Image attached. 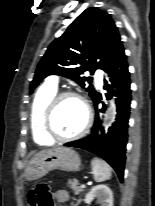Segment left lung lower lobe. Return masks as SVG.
<instances>
[{"label":"left lung lower lobe","mask_w":155,"mask_h":206,"mask_svg":"<svg viewBox=\"0 0 155 206\" xmlns=\"http://www.w3.org/2000/svg\"><path fill=\"white\" fill-rule=\"evenodd\" d=\"M111 85L105 80L104 89L107 90L106 98L117 96L116 122L105 134L102 124V113L105 108L96 111L94 126L90 134L82 139L64 144L65 146L82 148L90 151L106 160L117 172L121 182H123L125 153L127 144V129L131 104L130 73L124 49L120 50L114 61L105 69ZM100 94H95L92 98L95 105L101 100ZM97 108V107H96Z\"/></svg>","instance_id":"1"}]
</instances>
